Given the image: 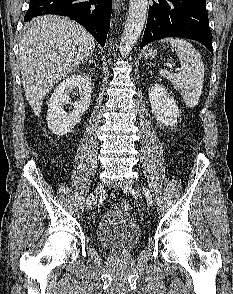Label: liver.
<instances>
[{
  "mask_svg": "<svg viewBox=\"0 0 233 294\" xmlns=\"http://www.w3.org/2000/svg\"><path fill=\"white\" fill-rule=\"evenodd\" d=\"M95 39L81 25L55 15L32 20L20 50L21 79L34 114H41L44 97L55 83L91 57Z\"/></svg>",
  "mask_w": 233,
  "mask_h": 294,
  "instance_id": "liver-1",
  "label": "liver"
}]
</instances>
